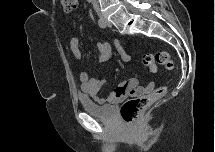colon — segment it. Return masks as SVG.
Wrapping results in <instances>:
<instances>
[{"instance_id":"obj_1","label":"colon","mask_w":215,"mask_h":152,"mask_svg":"<svg viewBox=\"0 0 215 152\" xmlns=\"http://www.w3.org/2000/svg\"><path fill=\"white\" fill-rule=\"evenodd\" d=\"M64 11L70 13L76 9V0H63ZM143 65L148 67L152 72L157 71L158 66L171 70L174 67L172 57L167 51H159L156 54H146L143 56ZM166 93L165 86L157 87L152 93L142 96L133 97L125 100L120 107V115L127 122H133L137 116L145 110L154 101L162 98Z\"/></svg>"}]
</instances>
